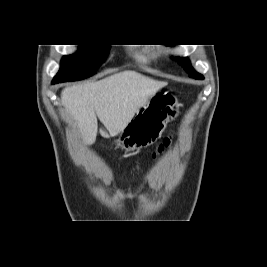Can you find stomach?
Instances as JSON below:
<instances>
[{
	"instance_id": "obj_1",
	"label": "stomach",
	"mask_w": 267,
	"mask_h": 267,
	"mask_svg": "<svg viewBox=\"0 0 267 267\" xmlns=\"http://www.w3.org/2000/svg\"><path fill=\"white\" fill-rule=\"evenodd\" d=\"M179 106L177 99L169 92L157 91L135 113L114 144L126 151L150 146L161 137L168 122L178 115Z\"/></svg>"
}]
</instances>
